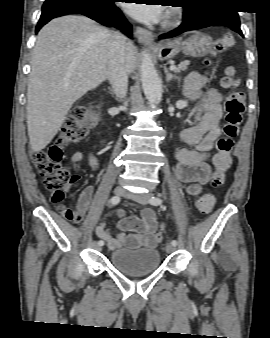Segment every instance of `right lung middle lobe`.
I'll return each mask as SVG.
<instances>
[{"instance_id": "right-lung-middle-lobe-1", "label": "right lung middle lobe", "mask_w": 270, "mask_h": 338, "mask_svg": "<svg viewBox=\"0 0 270 338\" xmlns=\"http://www.w3.org/2000/svg\"><path fill=\"white\" fill-rule=\"evenodd\" d=\"M88 1L108 2V1H111V0H88Z\"/></svg>"}]
</instances>
